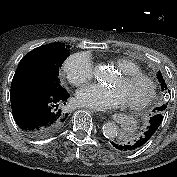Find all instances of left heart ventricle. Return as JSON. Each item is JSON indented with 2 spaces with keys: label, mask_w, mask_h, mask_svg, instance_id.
Returning a JSON list of instances; mask_svg holds the SVG:
<instances>
[{
  "label": "left heart ventricle",
  "mask_w": 177,
  "mask_h": 177,
  "mask_svg": "<svg viewBox=\"0 0 177 177\" xmlns=\"http://www.w3.org/2000/svg\"><path fill=\"white\" fill-rule=\"evenodd\" d=\"M111 86L119 90L125 103L142 100L148 93V86L145 82L123 81L120 76L113 80Z\"/></svg>",
  "instance_id": "b2bd125f"
}]
</instances>
